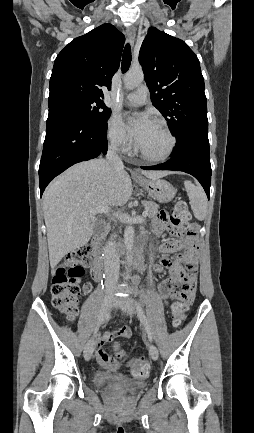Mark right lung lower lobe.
I'll return each instance as SVG.
<instances>
[{
    "mask_svg": "<svg viewBox=\"0 0 254 433\" xmlns=\"http://www.w3.org/2000/svg\"><path fill=\"white\" fill-rule=\"evenodd\" d=\"M107 123H93L76 112L50 109L39 166L40 194L50 181L75 163L107 151Z\"/></svg>",
    "mask_w": 254,
    "mask_h": 433,
    "instance_id": "98d812e1",
    "label": "right lung lower lobe"
}]
</instances>
